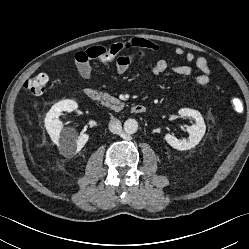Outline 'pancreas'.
Wrapping results in <instances>:
<instances>
[{
    "mask_svg": "<svg viewBox=\"0 0 249 249\" xmlns=\"http://www.w3.org/2000/svg\"><path fill=\"white\" fill-rule=\"evenodd\" d=\"M102 97V104L106 107L111 108L114 111H120L123 109L125 104L121 102L119 99L110 96L108 93H103Z\"/></svg>",
    "mask_w": 249,
    "mask_h": 249,
    "instance_id": "pancreas-1",
    "label": "pancreas"
}]
</instances>
